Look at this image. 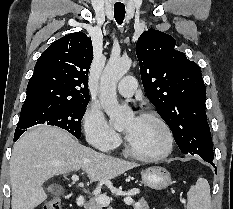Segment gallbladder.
<instances>
[{
	"mask_svg": "<svg viewBox=\"0 0 233 209\" xmlns=\"http://www.w3.org/2000/svg\"><path fill=\"white\" fill-rule=\"evenodd\" d=\"M50 192L54 195H62L64 190L61 186H51Z\"/></svg>",
	"mask_w": 233,
	"mask_h": 209,
	"instance_id": "gallbladder-1",
	"label": "gallbladder"
}]
</instances>
